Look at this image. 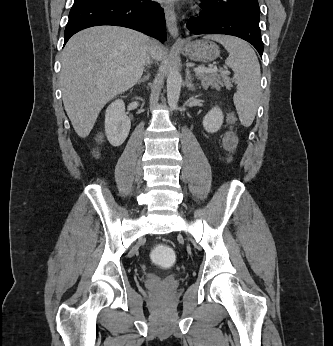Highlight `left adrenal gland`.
Masks as SVG:
<instances>
[{"instance_id":"left-adrenal-gland-1","label":"left adrenal gland","mask_w":333,"mask_h":346,"mask_svg":"<svg viewBox=\"0 0 333 346\" xmlns=\"http://www.w3.org/2000/svg\"><path fill=\"white\" fill-rule=\"evenodd\" d=\"M185 84L187 86V88L191 91H194L195 90V86L193 84V78L190 74V70L189 68L187 67L186 68V79H185Z\"/></svg>"}]
</instances>
